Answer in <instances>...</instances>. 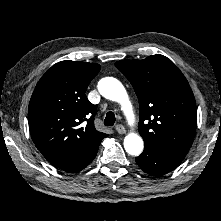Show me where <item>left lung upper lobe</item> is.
<instances>
[{
    "label": "left lung upper lobe",
    "mask_w": 221,
    "mask_h": 221,
    "mask_svg": "<svg viewBox=\"0 0 221 221\" xmlns=\"http://www.w3.org/2000/svg\"><path fill=\"white\" fill-rule=\"evenodd\" d=\"M139 100L144 143L186 155L196 131V103L182 72L162 55L115 63Z\"/></svg>",
    "instance_id": "1"
}]
</instances>
